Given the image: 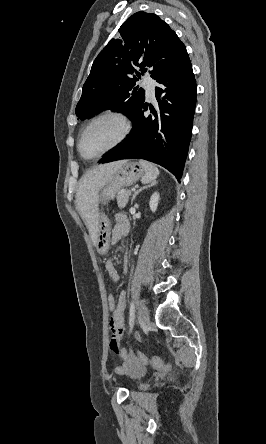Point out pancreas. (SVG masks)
Instances as JSON below:
<instances>
[{
  "label": "pancreas",
  "instance_id": "pancreas-1",
  "mask_svg": "<svg viewBox=\"0 0 266 444\" xmlns=\"http://www.w3.org/2000/svg\"><path fill=\"white\" fill-rule=\"evenodd\" d=\"M130 195V190L121 191L117 194V204L120 209L124 208L128 204Z\"/></svg>",
  "mask_w": 266,
  "mask_h": 444
}]
</instances>
